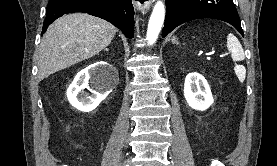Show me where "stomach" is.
Here are the masks:
<instances>
[{
	"mask_svg": "<svg viewBox=\"0 0 277 166\" xmlns=\"http://www.w3.org/2000/svg\"><path fill=\"white\" fill-rule=\"evenodd\" d=\"M172 42L177 43V38L173 37Z\"/></svg>",
	"mask_w": 277,
	"mask_h": 166,
	"instance_id": "0dacf381",
	"label": "stomach"
}]
</instances>
